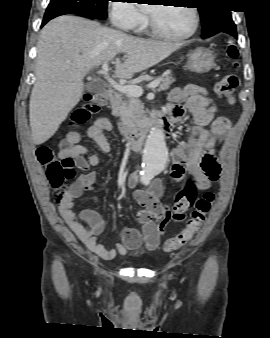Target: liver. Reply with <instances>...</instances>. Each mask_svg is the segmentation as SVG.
Listing matches in <instances>:
<instances>
[{"label":"liver","instance_id":"liver-1","mask_svg":"<svg viewBox=\"0 0 270 338\" xmlns=\"http://www.w3.org/2000/svg\"><path fill=\"white\" fill-rule=\"evenodd\" d=\"M181 43L140 39L102 27L99 23L64 15L41 30L36 58V82L31 92L29 119L32 138L40 145L51 138L83 93V78L96 66L116 58L115 75L132 78L178 50Z\"/></svg>","mask_w":270,"mask_h":338}]
</instances>
